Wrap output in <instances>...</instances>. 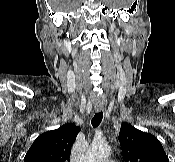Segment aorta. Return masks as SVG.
Instances as JSON below:
<instances>
[{
	"label": "aorta",
	"mask_w": 175,
	"mask_h": 162,
	"mask_svg": "<svg viewBox=\"0 0 175 162\" xmlns=\"http://www.w3.org/2000/svg\"><path fill=\"white\" fill-rule=\"evenodd\" d=\"M111 153V148L104 142H93L83 162H103Z\"/></svg>",
	"instance_id": "1"
}]
</instances>
